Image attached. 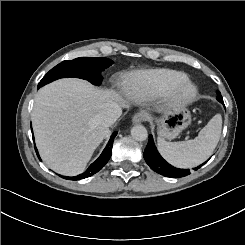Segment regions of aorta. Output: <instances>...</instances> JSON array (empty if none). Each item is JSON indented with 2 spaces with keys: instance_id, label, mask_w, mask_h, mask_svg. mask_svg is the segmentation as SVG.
I'll return each instance as SVG.
<instances>
[{
  "instance_id": "aorta-1",
  "label": "aorta",
  "mask_w": 245,
  "mask_h": 245,
  "mask_svg": "<svg viewBox=\"0 0 245 245\" xmlns=\"http://www.w3.org/2000/svg\"><path fill=\"white\" fill-rule=\"evenodd\" d=\"M131 136L136 141H144L148 137V132L143 125H135L131 129Z\"/></svg>"
}]
</instances>
